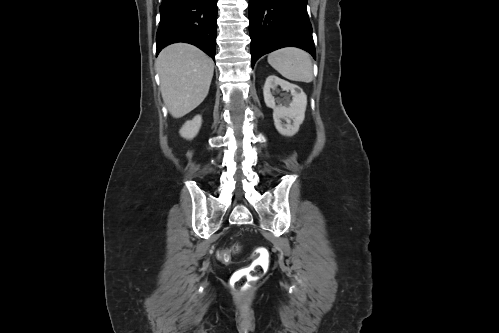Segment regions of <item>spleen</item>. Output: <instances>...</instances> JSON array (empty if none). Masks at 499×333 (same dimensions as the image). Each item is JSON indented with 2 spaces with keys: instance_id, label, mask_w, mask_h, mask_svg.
Returning a JSON list of instances; mask_svg holds the SVG:
<instances>
[{
  "instance_id": "spleen-1",
  "label": "spleen",
  "mask_w": 499,
  "mask_h": 333,
  "mask_svg": "<svg viewBox=\"0 0 499 333\" xmlns=\"http://www.w3.org/2000/svg\"><path fill=\"white\" fill-rule=\"evenodd\" d=\"M268 63L283 77L309 83L313 80V65L310 55L298 48L287 47L268 55Z\"/></svg>"
}]
</instances>
